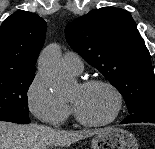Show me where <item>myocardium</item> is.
I'll list each match as a JSON object with an SVG mask.
<instances>
[{
    "instance_id": "f54148a6",
    "label": "myocardium",
    "mask_w": 155,
    "mask_h": 149,
    "mask_svg": "<svg viewBox=\"0 0 155 149\" xmlns=\"http://www.w3.org/2000/svg\"><path fill=\"white\" fill-rule=\"evenodd\" d=\"M81 87L83 88H90L94 86H102L107 88L113 95L114 100H115V105H114V110L112 115L103 120V121H90L85 119L78 111L77 109L71 105L73 114L75 116V119L84 126L88 127H101V126H106L114 122L120 115L123 107V96L121 91L110 81L104 80V79H89L85 80L80 84Z\"/></svg>"
}]
</instances>
